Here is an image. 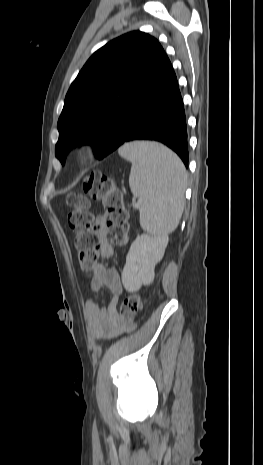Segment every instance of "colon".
Returning a JSON list of instances; mask_svg holds the SVG:
<instances>
[{"label":"colon","mask_w":263,"mask_h":465,"mask_svg":"<svg viewBox=\"0 0 263 465\" xmlns=\"http://www.w3.org/2000/svg\"><path fill=\"white\" fill-rule=\"evenodd\" d=\"M82 193L67 196L71 208L68 224L75 235V249L81 270L89 274L98 260L99 239L95 232L96 221L89 212L90 199L100 200L104 215L100 218L108 229L114 243L123 245L128 239V213L121 191L113 179L103 173L94 172L85 177ZM141 309V299L136 294L127 296L115 317V324L125 327L132 322Z\"/></svg>","instance_id":"obj_1"}]
</instances>
